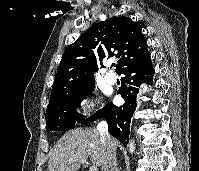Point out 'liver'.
Returning a JSON list of instances; mask_svg holds the SVG:
<instances>
[{
    "mask_svg": "<svg viewBox=\"0 0 199 171\" xmlns=\"http://www.w3.org/2000/svg\"><path fill=\"white\" fill-rule=\"evenodd\" d=\"M115 149L120 143L112 138ZM107 143L95 128H76L66 133L54 146L48 171H77L80 160L91 158L95 166H103Z\"/></svg>",
    "mask_w": 199,
    "mask_h": 171,
    "instance_id": "obj_1",
    "label": "liver"
}]
</instances>
